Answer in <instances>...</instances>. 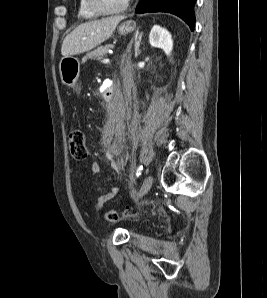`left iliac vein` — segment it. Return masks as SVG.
I'll return each mask as SVG.
<instances>
[{"instance_id":"4c4485c4","label":"left iliac vein","mask_w":267,"mask_h":298,"mask_svg":"<svg viewBox=\"0 0 267 298\" xmlns=\"http://www.w3.org/2000/svg\"><path fill=\"white\" fill-rule=\"evenodd\" d=\"M152 183H153V177L151 175L147 176L143 181L140 187V190L135 197V200H138L139 198L144 196L150 190Z\"/></svg>"}]
</instances>
